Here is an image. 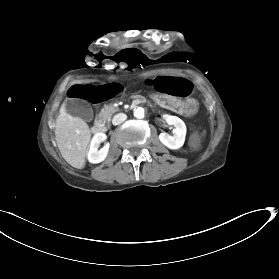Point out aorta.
I'll list each match as a JSON object with an SVG mask.
<instances>
[{"label":"aorta","instance_id":"1","mask_svg":"<svg viewBox=\"0 0 279 279\" xmlns=\"http://www.w3.org/2000/svg\"><path fill=\"white\" fill-rule=\"evenodd\" d=\"M134 116L139 119L144 118V109L142 107L134 109Z\"/></svg>","mask_w":279,"mask_h":279}]
</instances>
